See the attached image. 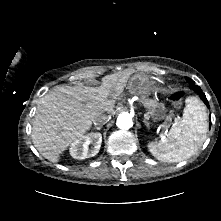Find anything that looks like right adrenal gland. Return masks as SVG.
<instances>
[{
    "instance_id": "2a0ac1e0",
    "label": "right adrenal gland",
    "mask_w": 221,
    "mask_h": 221,
    "mask_svg": "<svg viewBox=\"0 0 221 221\" xmlns=\"http://www.w3.org/2000/svg\"><path fill=\"white\" fill-rule=\"evenodd\" d=\"M101 128H102V125H101V126H98V127H95L94 129H96V130H101Z\"/></svg>"
}]
</instances>
